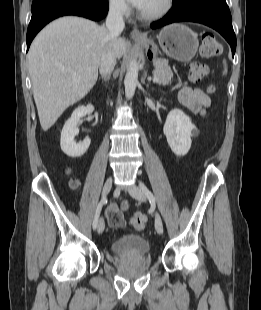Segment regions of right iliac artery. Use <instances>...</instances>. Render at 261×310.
Listing matches in <instances>:
<instances>
[{
    "mask_svg": "<svg viewBox=\"0 0 261 310\" xmlns=\"http://www.w3.org/2000/svg\"><path fill=\"white\" fill-rule=\"evenodd\" d=\"M105 202H107V200H106V198H103L100 201V203L98 204V206H97V209H96V212H95V216H94V219H93V229L94 230L97 228L99 215H100V212H101L102 207L105 204Z\"/></svg>",
    "mask_w": 261,
    "mask_h": 310,
    "instance_id": "82829eb1",
    "label": "right iliac artery"
}]
</instances>
